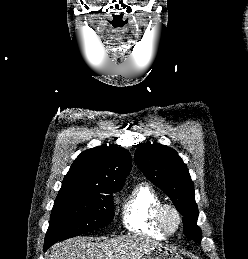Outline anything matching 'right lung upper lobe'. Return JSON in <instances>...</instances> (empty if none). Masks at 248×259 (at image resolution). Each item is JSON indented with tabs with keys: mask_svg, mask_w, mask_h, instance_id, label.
Here are the masks:
<instances>
[{
	"mask_svg": "<svg viewBox=\"0 0 248 259\" xmlns=\"http://www.w3.org/2000/svg\"><path fill=\"white\" fill-rule=\"evenodd\" d=\"M132 167L129 152L119 146H99L82 152L64 177L61 188L121 189Z\"/></svg>",
	"mask_w": 248,
	"mask_h": 259,
	"instance_id": "1",
	"label": "right lung upper lobe"
}]
</instances>
